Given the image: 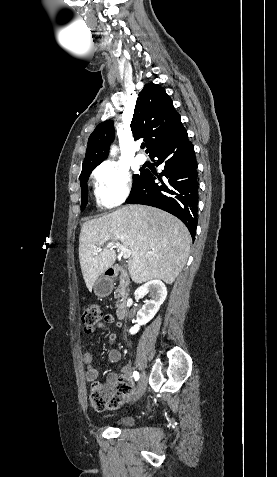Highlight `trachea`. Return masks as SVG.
<instances>
[{
	"instance_id": "obj_1",
	"label": "trachea",
	"mask_w": 277,
	"mask_h": 477,
	"mask_svg": "<svg viewBox=\"0 0 277 477\" xmlns=\"http://www.w3.org/2000/svg\"><path fill=\"white\" fill-rule=\"evenodd\" d=\"M141 148H142V149L145 148V144H144V143L141 144Z\"/></svg>"
}]
</instances>
